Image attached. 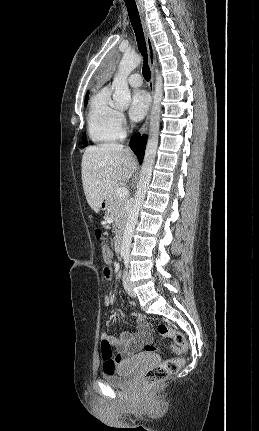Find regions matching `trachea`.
<instances>
[{"label": "trachea", "mask_w": 259, "mask_h": 431, "mask_svg": "<svg viewBox=\"0 0 259 431\" xmlns=\"http://www.w3.org/2000/svg\"><path fill=\"white\" fill-rule=\"evenodd\" d=\"M124 1L127 7L129 19L131 21L132 27L136 35L138 48L144 58L142 73L145 80L149 81L151 78V72L147 62V48H146V43H145V38L142 30L139 12H138L135 0H124Z\"/></svg>", "instance_id": "trachea-1"}]
</instances>
